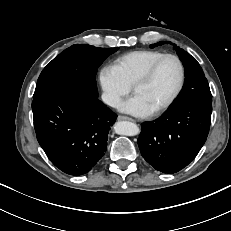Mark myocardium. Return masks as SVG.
Masks as SVG:
<instances>
[{"label":"myocardium","instance_id":"myocardium-1","mask_svg":"<svg viewBox=\"0 0 231 231\" xmlns=\"http://www.w3.org/2000/svg\"><path fill=\"white\" fill-rule=\"evenodd\" d=\"M167 58L174 59L177 62L178 66H179V71H180L179 82H178V85H177L176 89L171 94V96L164 103H162L160 106H158L156 109H154L152 114H159V113H162L165 110H167L175 102V100L178 98V96L182 92L183 87L185 85V80H186V70H185V66H184V63L181 60V58L179 56H177L175 54H171V53H166V54L161 55L160 57L155 59L142 72V74L136 79V81L132 85V89H133V91H135V89L138 86H140V85L146 83L147 81H149L150 78L152 77V75L154 74L156 68L158 67V65L164 59H167Z\"/></svg>","mask_w":231,"mask_h":231}]
</instances>
